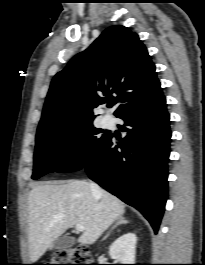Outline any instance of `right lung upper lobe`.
<instances>
[{
    "label": "right lung upper lobe",
    "instance_id": "right-lung-upper-lobe-1",
    "mask_svg": "<svg viewBox=\"0 0 205 265\" xmlns=\"http://www.w3.org/2000/svg\"><path fill=\"white\" fill-rule=\"evenodd\" d=\"M160 90L155 65L138 35L124 26H111L54 76L37 131L93 120L94 108L106 102L117 106L118 117Z\"/></svg>",
    "mask_w": 205,
    "mask_h": 265
}]
</instances>
